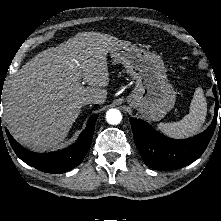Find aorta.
Masks as SVG:
<instances>
[{
    "label": "aorta",
    "mask_w": 221,
    "mask_h": 221,
    "mask_svg": "<svg viewBox=\"0 0 221 221\" xmlns=\"http://www.w3.org/2000/svg\"><path fill=\"white\" fill-rule=\"evenodd\" d=\"M106 120L111 125H117L122 120L121 112L118 109H109L106 112Z\"/></svg>",
    "instance_id": "obj_1"
}]
</instances>
